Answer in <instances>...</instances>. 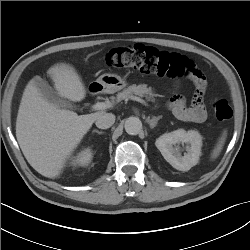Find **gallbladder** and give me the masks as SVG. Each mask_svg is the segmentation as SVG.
Listing matches in <instances>:
<instances>
[{
    "label": "gallbladder",
    "mask_w": 250,
    "mask_h": 250,
    "mask_svg": "<svg viewBox=\"0 0 250 250\" xmlns=\"http://www.w3.org/2000/svg\"><path fill=\"white\" fill-rule=\"evenodd\" d=\"M36 85L39 87L40 91L42 92L43 96L54 105L58 106L61 109H72L73 105L70 101L60 97L50 85L40 77H36L34 79Z\"/></svg>",
    "instance_id": "obj_1"
}]
</instances>
